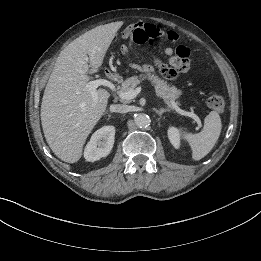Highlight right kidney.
Masks as SVG:
<instances>
[{"label": "right kidney", "instance_id": "1", "mask_svg": "<svg viewBox=\"0 0 261 261\" xmlns=\"http://www.w3.org/2000/svg\"><path fill=\"white\" fill-rule=\"evenodd\" d=\"M114 137V126H104L94 132L84 150L86 161L94 162L107 156L113 148Z\"/></svg>", "mask_w": 261, "mask_h": 261}]
</instances>
